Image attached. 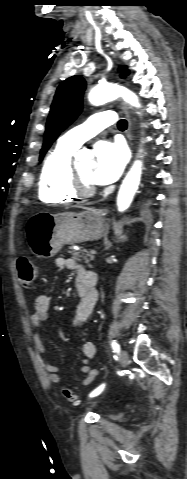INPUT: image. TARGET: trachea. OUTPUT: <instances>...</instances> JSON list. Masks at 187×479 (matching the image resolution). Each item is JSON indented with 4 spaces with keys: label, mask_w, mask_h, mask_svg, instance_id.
<instances>
[{
    "label": "trachea",
    "mask_w": 187,
    "mask_h": 479,
    "mask_svg": "<svg viewBox=\"0 0 187 479\" xmlns=\"http://www.w3.org/2000/svg\"><path fill=\"white\" fill-rule=\"evenodd\" d=\"M118 128L120 129H126L127 127V121L125 119H121L118 121V124H117Z\"/></svg>",
    "instance_id": "3493384b"
}]
</instances>
